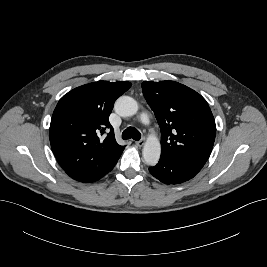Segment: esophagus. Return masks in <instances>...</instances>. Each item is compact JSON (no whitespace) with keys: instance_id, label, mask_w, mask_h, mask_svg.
<instances>
[{"instance_id":"34e87169","label":"esophagus","mask_w":267,"mask_h":267,"mask_svg":"<svg viewBox=\"0 0 267 267\" xmlns=\"http://www.w3.org/2000/svg\"><path fill=\"white\" fill-rule=\"evenodd\" d=\"M135 144H136L137 147L140 148V147H142L144 145V141L143 140H139V141H136Z\"/></svg>"}]
</instances>
